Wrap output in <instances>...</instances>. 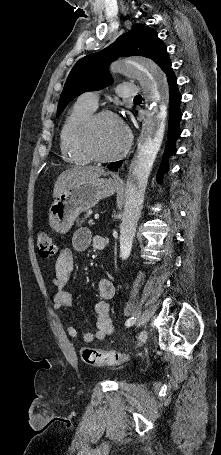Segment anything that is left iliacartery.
I'll list each match as a JSON object with an SVG mask.
<instances>
[{
	"label": "left iliac artery",
	"instance_id": "left-iliac-artery-1",
	"mask_svg": "<svg viewBox=\"0 0 221 455\" xmlns=\"http://www.w3.org/2000/svg\"><path fill=\"white\" fill-rule=\"evenodd\" d=\"M136 319L134 317H131L129 318L127 321H126V326L129 327V326H132L134 323H135Z\"/></svg>",
	"mask_w": 221,
	"mask_h": 455
}]
</instances>
